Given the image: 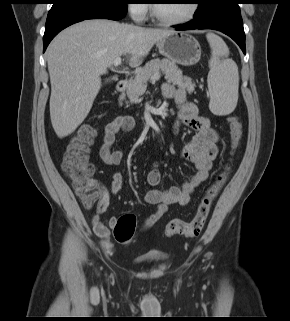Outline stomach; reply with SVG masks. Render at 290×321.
Masks as SVG:
<instances>
[{
	"instance_id": "stomach-1",
	"label": "stomach",
	"mask_w": 290,
	"mask_h": 321,
	"mask_svg": "<svg viewBox=\"0 0 290 321\" xmlns=\"http://www.w3.org/2000/svg\"><path fill=\"white\" fill-rule=\"evenodd\" d=\"M159 53L174 63L192 66L201 58L199 42L188 32L173 31L157 42Z\"/></svg>"
}]
</instances>
